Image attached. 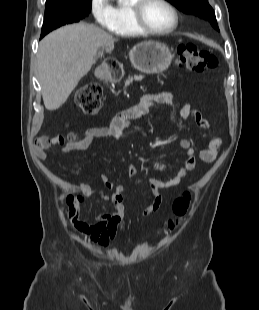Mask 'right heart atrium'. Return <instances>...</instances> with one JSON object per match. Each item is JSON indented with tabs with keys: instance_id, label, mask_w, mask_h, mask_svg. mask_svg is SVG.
Returning a JSON list of instances; mask_svg holds the SVG:
<instances>
[{
	"instance_id": "d8ad5b80",
	"label": "right heart atrium",
	"mask_w": 259,
	"mask_h": 310,
	"mask_svg": "<svg viewBox=\"0 0 259 310\" xmlns=\"http://www.w3.org/2000/svg\"><path fill=\"white\" fill-rule=\"evenodd\" d=\"M90 11L98 25L106 28L111 25L113 13L109 0H90Z\"/></svg>"
}]
</instances>
